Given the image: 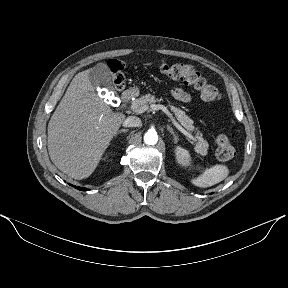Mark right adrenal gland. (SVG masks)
Masks as SVG:
<instances>
[{
    "mask_svg": "<svg viewBox=\"0 0 288 288\" xmlns=\"http://www.w3.org/2000/svg\"><path fill=\"white\" fill-rule=\"evenodd\" d=\"M123 132H128V129H121V130L117 131L115 134V137L117 136V134L123 133Z\"/></svg>",
    "mask_w": 288,
    "mask_h": 288,
    "instance_id": "right-adrenal-gland-1",
    "label": "right adrenal gland"
}]
</instances>
